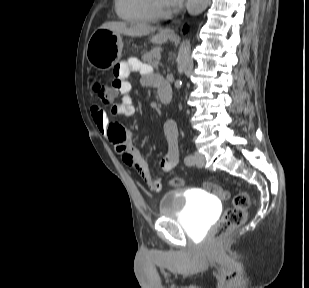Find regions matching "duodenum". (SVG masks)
I'll list each match as a JSON object with an SVG mask.
<instances>
[{"mask_svg":"<svg viewBox=\"0 0 309 288\" xmlns=\"http://www.w3.org/2000/svg\"><path fill=\"white\" fill-rule=\"evenodd\" d=\"M158 95L159 100L164 103L168 104L172 100V90L170 85L166 81H161L158 87Z\"/></svg>","mask_w":309,"mask_h":288,"instance_id":"duodenum-1","label":"duodenum"}]
</instances>
